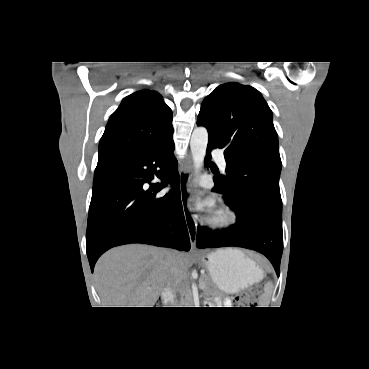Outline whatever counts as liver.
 <instances>
[{
  "label": "liver",
  "instance_id": "obj_1",
  "mask_svg": "<svg viewBox=\"0 0 369 369\" xmlns=\"http://www.w3.org/2000/svg\"><path fill=\"white\" fill-rule=\"evenodd\" d=\"M167 255L173 257L171 264ZM188 267L183 253L132 244L103 254L94 276L103 307H153L165 287L186 279Z\"/></svg>",
  "mask_w": 369,
  "mask_h": 369
}]
</instances>
